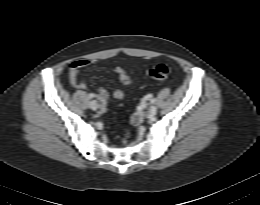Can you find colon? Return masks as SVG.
Segmentation results:
<instances>
[{
  "label": "colon",
  "mask_w": 260,
  "mask_h": 205,
  "mask_svg": "<svg viewBox=\"0 0 260 205\" xmlns=\"http://www.w3.org/2000/svg\"><path fill=\"white\" fill-rule=\"evenodd\" d=\"M148 75L156 80H166L170 75V69L165 64H157L148 71Z\"/></svg>",
  "instance_id": "obj_1"
}]
</instances>
